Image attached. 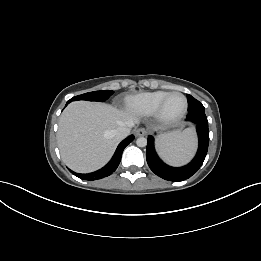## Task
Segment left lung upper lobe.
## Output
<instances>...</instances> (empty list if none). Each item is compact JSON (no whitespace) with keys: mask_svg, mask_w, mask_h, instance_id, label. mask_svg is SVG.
<instances>
[{"mask_svg":"<svg viewBox=\"0 0 261 261\" xmlns=\"http://www.w3.org/2000/svg\"><path fill=\"white\" fill-rule=\"evenodd\" d=\"M188 100V112H194V111H202L205 112L204 106L201 102L196 100L191 95H187Z\"/></svg>","mask_w":261,"mask_h":261,"instance_id":"5c2ea615","label":"left lung upper lobe"}]
</instances>
